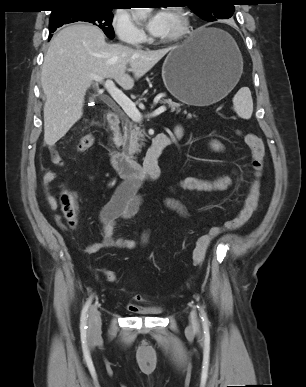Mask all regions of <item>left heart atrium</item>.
<instances>
[{
	"label": "left heart atrium",
	"mask_w": 306,
	"mask_h": 387,
	"mask_svg": "<svg viewBox=\"0 0 306 387\" xmlns=\"http://www.w3.org/2000/svg\"><path fill=\"white\" fill-rule=\"evenodd\" d=\"M167 25V12L160 11L149 18L147 29L153 36L163 37L167 30Z\"/></svg>",
	"instance_id": "39dd6f15"
}]
</instances>
